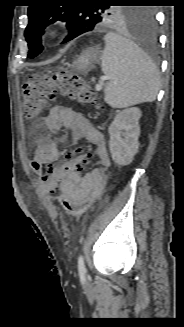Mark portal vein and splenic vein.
I'll return each mask as SVG.
<instances>
[{
	"instance_id": "1",
	"label": "portal vein and splenic vein",
	"mask_w": 184,
	"mask_h": 327,
	"mask_svg": "<svg viewBox=\"0 0 184 327\" xmlns=\"http://www.w3.org/2000/svg\"><path fill=\"white\" fill-rule=\"evenodd\" d=\"M107 79H108V77L103 76V77H101V82H102V81H105V80H107ZM95 88H96L97 91H100L101 88H102V83L97 84Z\"/></svg>"
}]
</instances>
